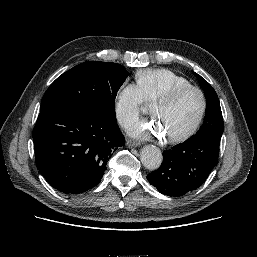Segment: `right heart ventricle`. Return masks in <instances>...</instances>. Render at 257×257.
<instances>
[{
    "label": "right heart ventricle",
    "instance_id": "1",
    "mask_svg": "<svg viewBox=\"0 0 257 257\" xmlns=\"http://www.w3.org/2000/svg\"><path fill=\"white\" fill-rule=\"evenodd\" d=\"M135 80L145 102L148 103H153L157 98L174 88L190 85L185 77L164 68L139 70L135 74Z\"/></svg>",
    "mask_w": 257,
    "mask_h": 257
}]
</instances>
